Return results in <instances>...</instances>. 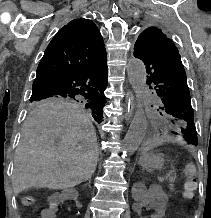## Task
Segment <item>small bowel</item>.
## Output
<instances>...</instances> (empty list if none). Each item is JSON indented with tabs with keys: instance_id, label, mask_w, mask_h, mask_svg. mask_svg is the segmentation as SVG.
<instances>
[{
	"instance_id": "small-bowel-1",
	"label": "small bowel",
	"mask_w": 211,
	"mask_h": 218,
	"mask_svg": "<svg viewBox=\"0 0 211 218\" xmlns=\"http://www.w3.org/2000/svg\"><path fill=\"white\" fill-rule=\"evenodd\" d=\"M148 214L142 216L141 218H164L165 208L162 204L150 205L147 208ZM58 215V208L54 205L42 211V218H56Z\"/></svg>"
}]
</instances>
